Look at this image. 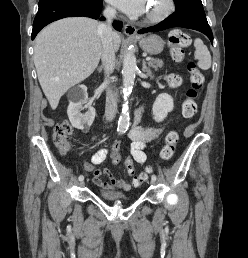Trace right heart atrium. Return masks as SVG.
Segmentation results:
<instances>
[{"label": "right heart atrium", "mask_w": 248, "mask_h": 258, "mask_svg": "<svg viewBox=\"0 0 248 258\" xmlns=\"http://www.w3.org/2000/svg\"><path fill=\"white\" fill-rule=\"evenodd\" d=\"M108 9H109L110 11H113V10H114L112 7H108Z\"/></svg>", "instance_id": "right-heart-atrium-1"}]
</instances>
